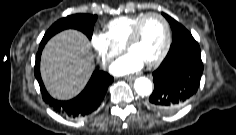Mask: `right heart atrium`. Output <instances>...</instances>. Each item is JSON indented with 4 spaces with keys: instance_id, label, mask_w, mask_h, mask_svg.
<instances>
[{
    "instance_id": "d8ad5b80",
    "label": "right heart atrium",
    "mask_w": 236,
    "mask_h": 135,
    "mask_svg": "<svg viewBox=\"0 0 236 135\" xmlns=\"http://www.w3.org/2000/svg\"><path fill=\"white\" fill-rule=\"evenodd\" d=\"M90 43L103 66H106L122 50L113 44L104 33L94 32L90 37Z\"/></svg>"
}]
</instances>
